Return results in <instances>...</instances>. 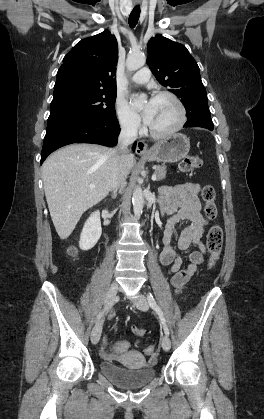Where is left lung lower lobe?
<instances>
[{
  "mask_svg": "<svg viewBox=\"0 0 264 419\" xmlns=\"http://www.w3.org/2000/svg\"><path fill=\"white\" fill-rule=\"evenodd\" d=\"M187 122L184 127H203L213 130V122L211 120L210 111L208 106L200 111L187 112Z\"/></svg>",
  "mask_w": 264,
  "mask_h": 419,
  "instance_id": "obj_1",
  "label": "left lung lower lobe"
}]
</instances>
